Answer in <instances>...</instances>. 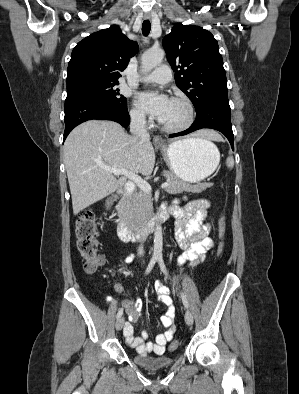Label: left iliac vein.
<instances>
[{"label": "left iliac vein", "instance_id": "4c4485c4", "mask_svg": "<svg viewBox=\"0 0 299 394\" xmlns=\"http://www.w3.org/2000/svg\"><path fill=\"white\" fill-rule=\"evenodd\" d=\"M184 318H185V322H186L187 325L190 326V325L193 324V316L190 313V311H186L185 312Z\"/></svg>", "mask_w": 299, "mask_h": 394}]
</instances>
